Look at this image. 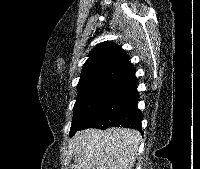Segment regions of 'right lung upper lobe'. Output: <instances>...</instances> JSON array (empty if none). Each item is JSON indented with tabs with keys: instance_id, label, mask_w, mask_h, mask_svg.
I'll list each match as a JSON object with an SVG mask.
<instances>
[{
	"instance_id": "obj_1",
	"label": "right lung upper lobe",
	"mask_w": 200,
	"mask_h": 169,
	"mask_svg": "<svg viewBox=\"0 0 200 169\" xmlns=\"http://www.w3.org/2000/svg\"><path fill=\"white\" fill-rule=\"evenodd\" d=\"M135 77V68L127 53L112 42H103L89 54L83 66L78 90L101 84H120Z\"/></svg>"
}]
</instances>
